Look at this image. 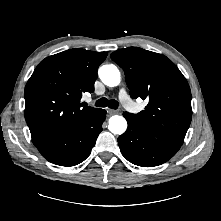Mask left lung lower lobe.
I'll use <instances>...</instances> for the list:
<instances>
[{
  "label": "left lung lower lobe",
  "instance_id": "1",
  "mask_svg": "<svg viewBox=\"0 0 221 221\" xmlns=\"http://www.w3.org/2000/svg\"><path fill=\"white\" fill-rule=\"evenodd\" d=\"M124 117L128 128L119 136L118 144L122 155L129 162L143 167L161 165L180 149V145L157 139L148 133L130 113L125 112Z\"/></svg>",
  "mask_w": 221,
  "mask_h": 221
}]
</instances>
